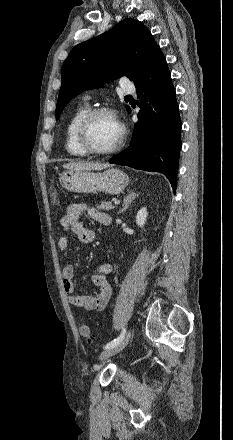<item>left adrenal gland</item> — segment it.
I'll return each instance as SVG.
<instances>
[{
  "label": "left adrenal gland",
  "instance_id": "left-adrenal-gland-1",
  "mask_svg": "<svg viewBox=\"0 0 233 440\" xmlns=\"http://www.w3.org/2000/svg\"><path fill=\"white\" fill-rule=\"evenodd\" d=\"M138 196L135 192H129V194L124 198L123 208L118 212V214L124 212L131 205L132 201Z\"/></svg>",
  "mask_w": 233,
  "mask_h": 440
}]
</instances>
